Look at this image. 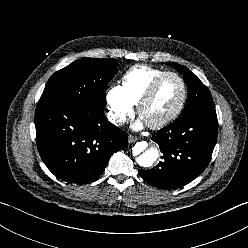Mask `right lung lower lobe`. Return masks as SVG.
Returning a JSON list of instances; mask_svg holds the SVG:
<instances>
[{
    "label": "right lung lower lobe",
    "instance_id": "98d812e1",
    "mask_svg": "<svg viewBox=\"0 0 248 248\" xmlns=\"http://www.w3.org/2000/svg\"><path fill=\"white\" fill-rule=\"evenodd\" d=\"M38 151L58 178L83 184L99 177L115 151L128 146V135L108 122L104 111L77 105L38 103L35 114Z\"/></svg>",
    "mask_w": 248,
    "mask_h": 248
}]
</instances>
